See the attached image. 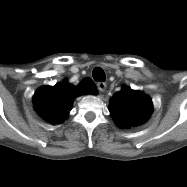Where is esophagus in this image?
Listing matches in <instances>:
<instances>
[{
	"instance_id": "34e87169",
	"label": "esophagus",
	"mask_w": 187,
	"mask_h": 187,
	"mask_svg": "<svg viewBox=\"0 0 187 187\" xmlns=\"http://www.w3.org/2000/svg\"><path fill=\"white\" fill-rule=\"evenodd\" d=\"M97 88H98V90H99L100 92L105 91V89H106V83L103 82V81L97 82Z\"/></svg>"
}]
</instances>
